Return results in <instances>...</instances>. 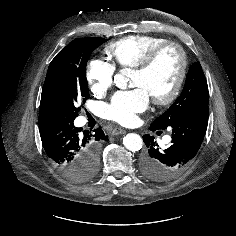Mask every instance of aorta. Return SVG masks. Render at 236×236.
Instances as JSON below:
<instances>
[{
    "label": "aorta",
    "mask_w": 236,
    "mask_h": 236,
    "mask_svg": "<svg viewBox=\"0 0 236 236\" xmlns=\"http://www.w3.org/2000/svg\"><path fill=\"white\" fill-rule=\"evenodd\" d=\"M129 73L130 69L125 68L114 76V83L118 88L125 89L127 87ZM123 144L128 150L136 152L142 148L143 140L138 134L129 133L123 138Z\"/></svg>",
    "instance_id": "1"
}]
</instances>
